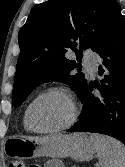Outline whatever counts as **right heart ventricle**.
<instances>
[{
  "label": "right heart ventricle",
  "mask_w": 125,
  "mask_h": 167,
  "mask_svg": "<svg viewBox=\"0 0 125 167\" xmlns=\"http://www.w3.org/2000/svg\"><path fill=\"white\" fill-rule=\"evenodd\" d=\"M26 109H27V108H26ZM26 109H25L24 115H23V125H24V128H25L26 130H30V129H29V126H28V123H27V120H26Z\"/></svg>",
  "instance_id": "1"
}]
</instances>
